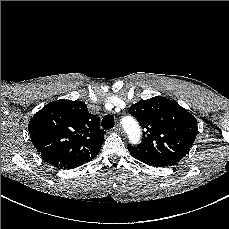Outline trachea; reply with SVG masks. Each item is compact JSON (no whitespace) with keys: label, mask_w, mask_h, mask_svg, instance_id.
<instances>
[{"label":"trachea","mask_w":229,"mask_h":229,"mask_svg":"<svg viewBox=\"0 0 229 229\" xmlns=\"http://www.w3.org/2000/svg\"><path fill=\"white\" fill-rule=\"evenodd\" d=\"M102 127L105 130L112 129L114 127V117L110 114L105 115L102 120Z\"/></svg>","instance_id":"1"}]
</instances>
